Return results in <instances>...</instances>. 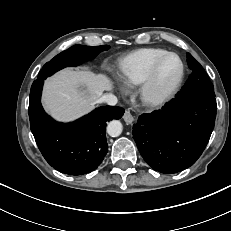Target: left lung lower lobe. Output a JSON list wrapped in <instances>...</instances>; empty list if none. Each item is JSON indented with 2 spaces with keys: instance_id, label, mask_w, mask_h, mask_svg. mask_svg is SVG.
Returning <instances> with one entry per match:
<instances>
[{
  "instance_id": "obj_1",
  "label": "left lung lower lobe",
  "mask_w": 231,
  "mask_h": 231,
  "mask_svg": "<svg viewBox=\"0 0 231 231\" xmlns=\"http://www.w3.org/2000/svg\"><path fill=\"white\" fill-rule=\"evenodd\" d=\"M216 110L214 96L188 93L139 116L133 138L145 162L167 174L193 165L210 139Z\"/></svg>"
}]
</instances>
